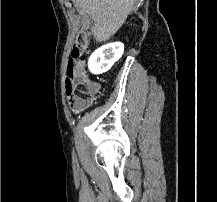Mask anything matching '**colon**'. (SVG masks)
Masks as SVG:
<instances>
[{
  "instance_id": "1",
  "label": "colon",
  "mask_w": 217,
  "mask_h": 202,
  "mask_svg": "<svg viewBox=\"0 0 217 202\" xmlns=\"http://www.w3.org/2000/svg\"><path fill=\"white\" fill-rule=\"evenodd\" d=\"M92 36H74L76 46H89V41H92ZM70 54H81V49H70ZM70 59H67V64H72L67 73L66 79L68 90L66 95L70 98L67 99L68 103H74L71 107L72 111H79L80 108L86 107L92 103L93 98H97V91L99 86L86 79L87 73L85 68L89 67L88 63H85V59H80V55H70Z\"/></svg>"
}]
</instances>
